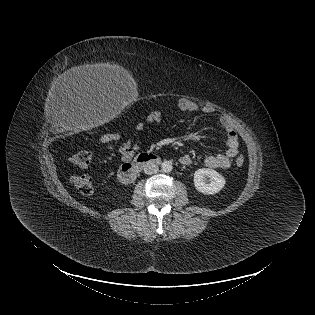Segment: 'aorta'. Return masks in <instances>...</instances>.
<instances>
[{"instance_id":"1","label":"aorta","mask_w":315,"mask_h":315,"mask_svg":"<svg viewBox=\"0 0 315 315\" xmlns=\"http://www.w3.org/2000/svg\"><path fill=\"white\" fill-rule=\"evenodd\" d=\"M173 169V165L171 161H164L161 164V170L162 172L168 173L171 172Z\"/></svg>"}]
</instances>
